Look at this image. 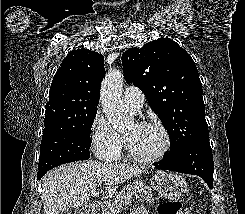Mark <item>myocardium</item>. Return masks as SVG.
<instances>
[{
    "mask_svg": "<svg viewBox=\"0 0 245 214\" xmlns=\"http://www.w3.org/2000/svg\"><path fill=\"white\" fill-rule=\"evenodd\" d=\"M137 124L141 125V126H147V127H152V128L158 129L161 132L163 139H164L163 146L153 156H147V157L146 156H140L131 150L126 139L124 138L125 148H126L128 156L131 159H133L137 162H140V163H144V164H151V163H155V162L161 160L166 155V153L169 151V149L171 147V137H170L168 130L166 129V127L163 124H161L160 122H157V121H146L145 120V121H140Z\"/></svg>",
    "mask_w": 245,
    "mask_h": 214,
    "instance_id": "myocardium-1",
    "label": "myocardium"
}]
</instances>
